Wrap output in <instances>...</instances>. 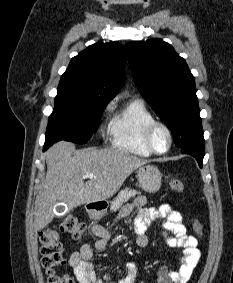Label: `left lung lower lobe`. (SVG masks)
<instances>
[{
	"instance_id": "obj_1",
	"label": "left lung lower lobe",
	"mask_w": 233,
	"mask_h": 283,
	"mask_svg": "<svg viewBox=\"0 0 233 283\" xmlns=\"http://www.w3.org/2000/svg\"><path fill=\"white\" fill-rule=\"evenodd\" d=\"M184 154H189L192 155L193 157L196 158V160L198 161V164L200 167H202V163H203V157H204V153H205V148L201 149V148H188L185 149L183 151Z\"/></svg>"
}]
</instances>
